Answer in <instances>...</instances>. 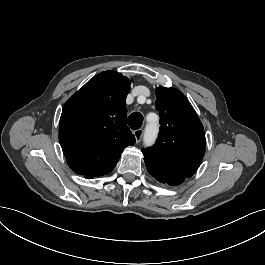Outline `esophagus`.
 Instances as JSON below:
<instances>
[{
	"mask_svg": "<svg viewBox=\"0 0 265 265\" xmlns=\"http://www.w3.org/2000/svg\"><path fill=\"white\" fill-rule=\"evenodd\" d=\"M133 134L135 135L136 142L139 143L143 137L144 130L143 129L134 130Z\"/></svg>",
	"mask_w": 265,
	"mask_h": 265,
	"instance_id": "1",
	"label": "esophagus"
}]
</instances>
